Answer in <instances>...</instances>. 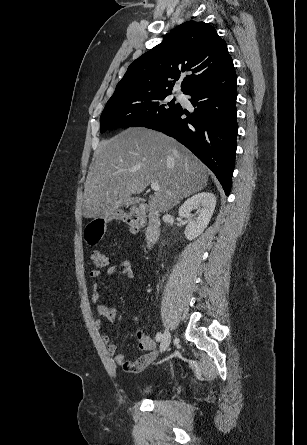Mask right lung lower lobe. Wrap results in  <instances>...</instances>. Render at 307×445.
<instances>
[{
  "label": "right lung lower lobe",
  "instance_id": "obj_1",
  "mask_svg": "<svg viewBox=\"0 0 307 445\" xmlns=\"http://www.w3.org/2000/svg\"><path fill=\"white\" fill-rule=\"evenodd\" d=\"M236 74L233 63L185 94L195 108L189 114L181 106L145 127L177 139L207 165L228 196L236 155ZM188 117L183 119L181 116Z\"/></svg>",
  "mask_w": 307,
  "mask_h": 445
}]
</instances>
